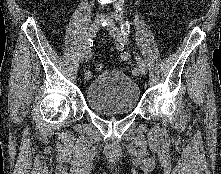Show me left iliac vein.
Instances as JSON below:
<instances>
[{
    "mask_svg": "<svg viewBox=\"0 0 221 174\" xmlns=\"http://www.w3.org/2000/svg\"><path fill=\"white\" fill-rule=\"evenodd\" d=\"M107 30L109 31L111 36L114 37L118 42H120L126 46H128L130 44L127 36L124 35L123 32L115 25H109L107 27ZM135 59L137 61L138 67H139V72L145 75L147 73V67H146L144 60L139 55H136Z\"/></svg>",
    "mask_w": 221,
    "mask_h": 174,
    "instance_id": "obj_1",
    "label": "left iliac vein"
}]
</instances>
